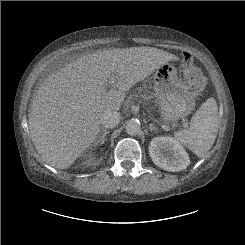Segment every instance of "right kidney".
Here are the masks:
<instances>
[{"label": "right kidney", "instance_id": "right-kidney-1", "mask_svg": "<svg viewBox=\"0 0 245 245\" xmlns=\"http://www.w3.org/2000/svg\"><path fill=\"white\" fill-rule=\"evenodd\" d=\"M84 164H87V165H88V164H90V161H89V160H87L86 162H84Z\"/></svg>", "mask_w": 245, "mask_h": 245}]
</instances>
